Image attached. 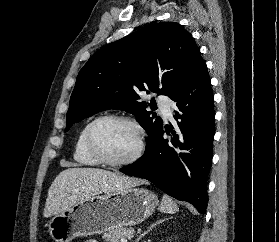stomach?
I'll return each instance as SVG.
<instances>
[{
  "instance_id": "1",
  "label": "stomach",
  "mask_w": 279,
  "mask_h": 242,
  "mask_svg": "<svg viewBox=\"0 0 279 242\" xmlns=\"http://www.w3.org/2000/svg\"><path fill=\"white\" fill-rule=\"evenodd\" d=\"M157 204L153 192L138 187L94 195L54 215L48 232L55 242H71L76 237L139 224L152 215Z\"/></svg>"
}]
</instances>
